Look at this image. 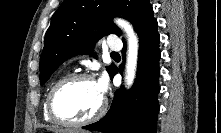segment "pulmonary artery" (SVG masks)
<instances>
[{"label": "pulmonary artery", "mask_w": 221, "mask_h": 133, "mask_svg": "<svg viewBox=\"0 0 221 133\" xmlns=\"http://www.w3.org/2000/svg\"><path fill=\"white\" fill-rule=\"evenodd\" d=\"M107 47L109 50L119 51L122 49V42L114 36L108 40Z\"/></svg>", "instance_id": "pulmonary-artery-1"}]
</instances>
